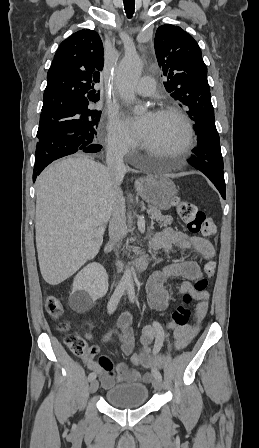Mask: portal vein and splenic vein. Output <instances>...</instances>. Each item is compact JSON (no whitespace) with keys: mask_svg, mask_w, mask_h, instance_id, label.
<instances>
[{"mask_svg":"<svg viewBox=\"0 0 259 448\" xmlns=\"http://www.w3.org/2000/svg\"><path fill=\"white\" fill-rule=\"evenodd\" d=\"M139 220H143V216H139ZM105 228H103V226H101V228H99L98 232H96V234H103Z\"/></svg>","mask_w":259,"mask_h":448,"instance_id":"portal-vein-and-splenic-vein-1","label":"portal vein and splenic vein"}]
</instances>
